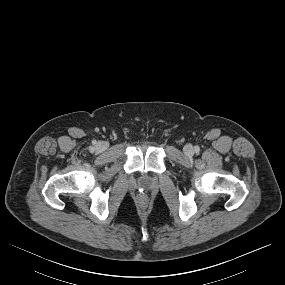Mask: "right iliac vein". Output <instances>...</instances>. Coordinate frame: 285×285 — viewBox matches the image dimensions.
Wrapping results in <instances>:
<instances>
[{"instance_id": "63e3f726", "label": "right iliac vein", "mask_w": 285, "mask_h": 285, "mask_svg": "<svg viewBox=\"0 0 285 285\" xmlns=\"http://www.w3.org/2000/svg\"><path fill=\"white\" fill-rule=\"evenodd\" d=\"M106 148H107V143L105 142L98 143L96 147L98 151H104Z\"/></svg>"}]
</instances>
